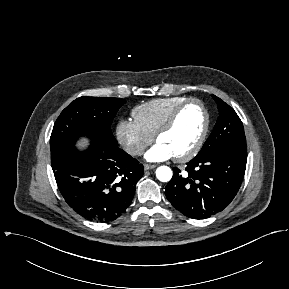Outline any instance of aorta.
Here are the masks:
<instances>
[{"label": "aorta", "instance_id": "aorta-1", "mask_svg": "<svg viewBox=\"0 0 289 289\" xmlns=\"http://www.w3.org/2000/svg\"><path fill=\"white\" fill-rule=\"evenodd\" d=\"M172 175V170L168 166H160L156 169V177L161 182H169Z\"/></svg>", "mask_w": 289, "mask_h": 289}]
</instances>
